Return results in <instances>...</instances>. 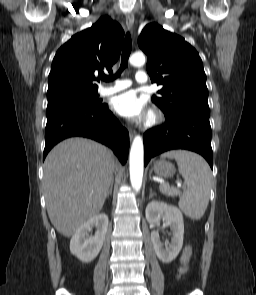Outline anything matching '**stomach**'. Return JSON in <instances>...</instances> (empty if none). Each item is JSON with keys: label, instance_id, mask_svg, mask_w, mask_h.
Returning <instances> with one entry per match:
<instances>
[{"label": "stomach", "instance_id": "1", "mask_svg": "<svg viewBox=\"0 0 256 295\" xmlns=\"http://www.w3.org/2000/svg\"><path fill=\"white\" fill-rule=\"evenodd\" d=\"M153 170L157 176L170 177L174 174L175 167L168 161L159 160L154 163Z\"/></svg>", "mask_w": 256, "mask_h": 295}]
</instances>
